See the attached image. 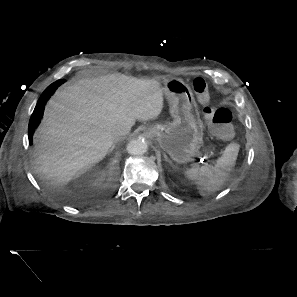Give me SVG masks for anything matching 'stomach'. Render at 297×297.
Segmentation results:
<instances>
[{
  "label": "stomach",
  "instance_id": "1",
  "mask_svg": "<svg viewBox=\"0 0 297 297\" xmlns=\"http://www.w3.org/2000/svg\"><path fill=\"white\" fill-rule=\"evenodd\" d=\"M166 96L173 121L154 125L148 132L160 148L177 163H186L200 154L203 146V124L190 87L181 79L164 80Z\"/></svg>",
  "mask_w": 297,
  "mask_h": 297
}]
</instances>
